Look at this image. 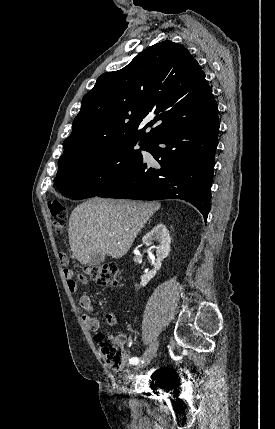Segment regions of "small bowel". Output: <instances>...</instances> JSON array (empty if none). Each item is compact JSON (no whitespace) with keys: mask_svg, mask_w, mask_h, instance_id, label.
I'll use <instances>...</instances> for the list:
<instances>
[{"mask_svg":"<svg viewBox=\"0 0 275 429\" xmlns=\"http://www.w3.org/2000/svg\"><path fill=\"white\" fill-rule=\"evenodd\" d=\"M64 275L67 281V287L70 292L75 293L77 291V282L74 279V273L72 270L66 268L64 269ZM79 280L81 283H87V279L85 277L80 276ZM79 307L83 311L81 318L85 326L91 330L96 331L100 327V322L98 318L91 315L93 311L92 300L88 295H82L79 299ZM106 322L110 326H114L117 323L116 316L113 312H109L106 314ZM124 339L123 337H121Z\"/></svg>","mask_w":275,"mask_h":429,"instance_id":"1","label":"small bowel"}]
</instances>
